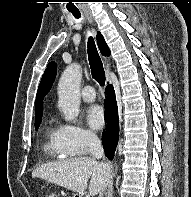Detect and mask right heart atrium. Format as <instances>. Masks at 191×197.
Instances as JSON below:
<instances>
[{"instance_id":"1","label":"right heart atrium","mask_w":191,"mask_h":197,"mask_svg":"<svg viewBox=\"0 0 191 197\" xmlns=\"http://www.w3.org/2000/svg\"><path fill=\"white\" fill-rule=\"evenodd\" d=\"M59 140L64 153L74 156L86 154L97 143L98 137L79 125L63 124L59 127Z\"/></svg>"}]
</instances>
